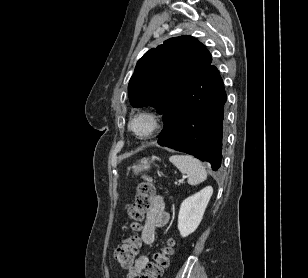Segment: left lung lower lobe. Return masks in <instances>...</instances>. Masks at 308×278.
Returning a JSON list of instances; mask_svg holds the SVG:
<instances>
[{
    "label": "left lung lower lobe",
    "mask_w": 308,
    "mask_h": 278,
    "mask_svg": "<svg viewBox=\"0 0 308 278\" xmlns=\"http://www.w3.org/2000/svg\"><path fill=\"white\" fill-rule=\"evenodd\" d=\"M227 96L219 71L210 65L178 94L163 113L159 145L221 166L224 104Z\"/></svg>",
    "instance_id": "left-lung-lower-lobe-1"
}]
</instances>
